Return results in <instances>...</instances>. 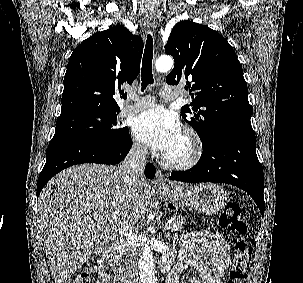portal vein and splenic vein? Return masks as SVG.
Segmentation results:
<instances>
[{
  "instance_id": "1",
  "label": "portal vein and splenic vein",
  "mask_w": 303,
  "mask_h": 283,
  "mask_svg": "<svg viewBox=\"0 0 303 283\" xmlns=\"http://www.w3.org/2000/svg\"><path fill=\"white\" fill-rule=\"evenodd\" d=\"M172 223V220L168 221V224L165 225V230H169L171 227H170V224Z\"/></svg>"
}]
</instances>
